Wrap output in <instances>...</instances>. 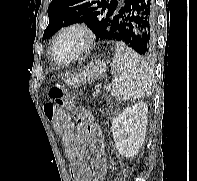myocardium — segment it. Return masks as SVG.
Listing matches in <instances>:
<instances>
[{
	"mask_svg": "<svg viewBox=\"0 0 197 181\" xmlns=\"http://www.w3.org/2000/svg\"><path fill=\"white\" fill-rule=\"evenodd\" d=\"M75 31L82 35L83 41L79 47V49L68 59L66 60H58L55 55L56 45L59 39L66 33ZM95 42V34L93 30L84 23H73L65 26L62 28L58 34L55 36L53 43H52V49H51V58L52 60L57 64H68L70 62H73L74 60L78 59L85 53H87L91 48L93 47Z\"/></svg>",
	"mask_w": 197,
	"mask_h": 181,
	"instance_id": "obj_1",
	"label": "myocardium"
}]
</instances>
